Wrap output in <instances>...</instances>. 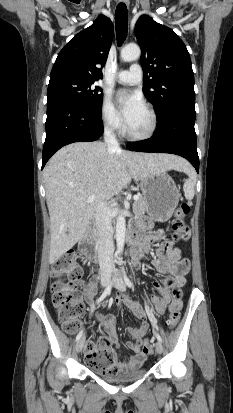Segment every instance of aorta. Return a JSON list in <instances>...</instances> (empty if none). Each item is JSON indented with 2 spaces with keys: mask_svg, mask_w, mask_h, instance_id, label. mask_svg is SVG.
<instances>
[{
  "mask_svg": "<svg viewBox=\"0 0 233 413\" xmlns=\"http://www.w3.org/2000/svg\"><path fill=\"white\" fill-rule=\"evenodd\" d=\"M141 55V49L137 45L125 46L120 53L121 60L124 62H130L137 60ZM126 235V221L124 214H120L116 221V243L117 252L121 254L123 252Z\"/></svg>",
  "mask_w": 233,
  "mask_h": 413,
  "instance_id": "obj_1",
  "label": "aorta"
}]
</instances>
